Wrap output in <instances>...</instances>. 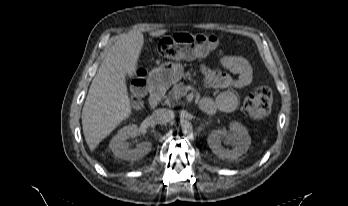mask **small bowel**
Returning a JSON list of instances; mask_svg holds the SVG:
<instances>
[{
  "label": "small bowel",
  "mask_w": 348,
  "mask_h": 206,
  "mask_svg": "<svg viewBox=\"0 0 348 206\" xmlns=\"http://www.w3.org/2000/svg\"><path fill=\"white\" fill-rule=\"evenodd\" d=\"M205 88L221 89L216 99L203 97L201 108L207 114H212L216 108L232 112L238 105V97L232 89L249 85L252 81V67L241 56L224 55L216 67H201Z\"/></svg>",
  "instance_id": "obj_1"
}]
</instances>
